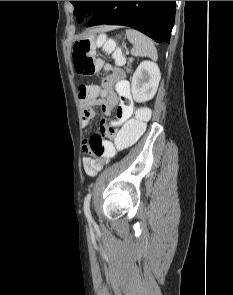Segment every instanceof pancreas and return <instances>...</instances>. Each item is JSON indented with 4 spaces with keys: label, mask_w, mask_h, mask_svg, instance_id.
Instances as JSON below:
<instances>
[{
    "label": "pancreas",
    "mask_w": 233,
    "mask_h": 295,
    "mask_svg": "<svg viewBox=\"0 0 233 295\" xmlns=\"http://www.w3.org/2000/svg\"><path fill=\"white\" fill-rule=\"evenodd\" d=\"M132 61H133V59H132V58H129V59H128V65H129Z\"/></svg>",
    "instance_id": "cf45deb5"
}]
</instances>
